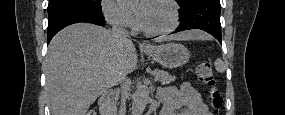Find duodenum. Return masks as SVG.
Wrapping results in <instances>:
<instances>
[{"mask_svg": "<svg viewBox=\"0 0 285 115\" xmlns=\"http://www.w3.org/2000/svg\"><path fill=\"white\" fill-rule=\"evenodd\" d=\"M111 94L109 91H104L98 100L99 112L101 115H113L114 112L110 103Z\"/></svg>", "mask_w": 285, "mask_h": 115, "instance_id": "410a0bca", "label": "duodenum"}]
</instances>
